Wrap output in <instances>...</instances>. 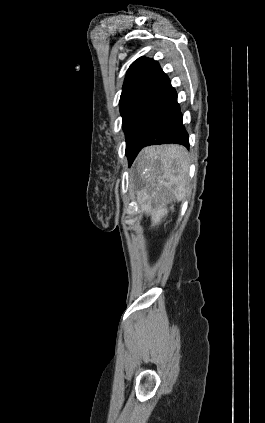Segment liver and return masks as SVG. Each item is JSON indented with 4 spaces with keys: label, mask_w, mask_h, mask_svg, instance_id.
I'll list each match as a JSON object with an SVG mask.
<instances>
[{
    "label": "liver",
    "mask_w": 265,
    "mask_h": 423,
    "mask_svg": "<svg viewBox=\"0 0 265 423\" xmlns=\"http://www.w3.org/2000/svg\"><path fill=\"white\" fill-rule=\"evenodd\" d=\"M137 168L147 181L157 183L151 192L145 188L138 191L137 201L141 212L151 216L152 226L158 225L167 213L169 196L177 201L184 197L189 170L188 152L181 145L146 147L140 153Z\"/></svg>",
    "instance_id": "1"
}]
</instances>
